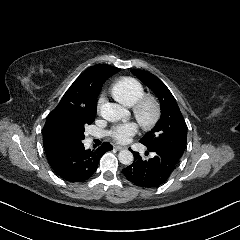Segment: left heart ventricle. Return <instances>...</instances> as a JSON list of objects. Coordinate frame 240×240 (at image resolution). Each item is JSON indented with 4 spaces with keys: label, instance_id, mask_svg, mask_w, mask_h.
Segmentation results:
<instances>
[{
    "label": "left heart ventricle",
    "instance_id": "obj_1",
    "mask_svg": "<svg viewBox=\"0 0 240 240\" xmlns=\"http://www.w3.org/2000/svg\"><path fill=\"white\" fill-rule=\"evenodd\" d=\"M150 115H151V108L147 107L146 110H145V116L149 117Z\"/></svg>",
    "mask_w": 240,
    "mask_h": 240
}]
</instances>
